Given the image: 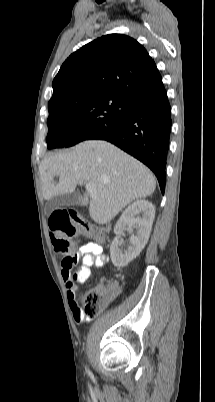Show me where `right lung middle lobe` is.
<instances>
[{
    "instance_id": "right-lung-middle-lobe-1",
    "label": "right lung middle lobe",
    "mask_w": 215,
    "mask_h": 402,
    "mask_svg": "<svg viewBox=\"0 0 215 402\" xmlns=\"http://www.w3.org/2000/svg\"><path fill=\"white\" fill-rule=\"evenodd\" d=\"M129 104L130 100L109 94L49 101L48 149L73 146L104 131L123 118Z\"/></svg>"
}]
</instances>
